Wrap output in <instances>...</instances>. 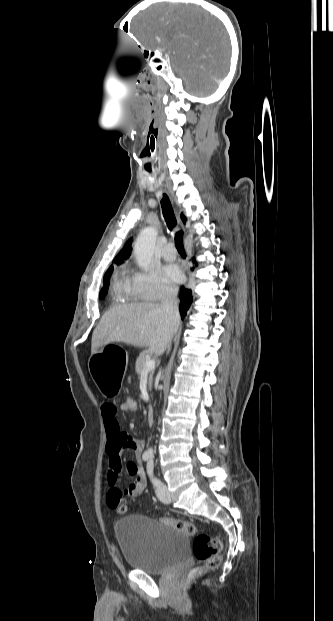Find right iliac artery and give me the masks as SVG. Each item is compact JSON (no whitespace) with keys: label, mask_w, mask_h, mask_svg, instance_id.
<instances>
[{"label":"right iliac artery","mask_w":333,"mask_h":621,"mask_svg":"<svg viewBox=\"0 0 333 621\" xmlns=\"http://www.w3.org/2000/svg\"><path fill=\"white\" fill-rule=\"evenodd\" d=\"M142 458H143V460H144V461H147V460H149L150 455H149V454H147V453H144V454H143V456H142Z\"/></svg>","instance_id":"obj_1"}]
</instances>
